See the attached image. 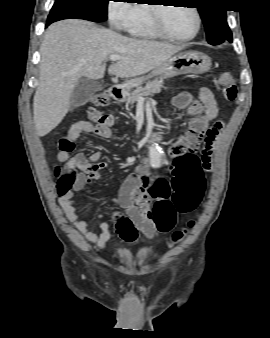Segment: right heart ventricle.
<instances>
[{
	"mask_svg": "<svg viewBox=\"0 0 270 338\" xmlns=\"http://www.w3.org/2000/svg\"><path fill=\"white\" fill-rule=\"evenodd\" d=\"M134 17L124 28L129 34L143 39H157L160 36L151 25L150 6L136 5L133 7Z\"/></svg>",
	"mask_w": 270,
	"mask_h": 338,
	"instance_id": "obj_1",
	"label": "right heart ventricle"
}]
</instances>
